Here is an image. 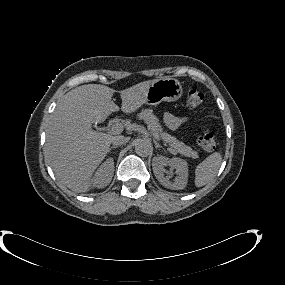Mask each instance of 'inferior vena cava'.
<instances>
[{"instance_id": "1", "label": "inferior vena cava", "mask_w": 285, "mask_h": 285, "mask_svg": "<svg viewBox=\"0 0 285 285\" xmlns=\"http://www.w3.org/2000/svg\"><path fill=\"white\" fill-rule=\"evenodd\" d=\"M129 141L128 137H124V136H116L114 137L112 144L119 146V145H123L126 144Z\"/></svg>"}]
</instances>
